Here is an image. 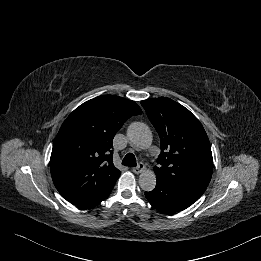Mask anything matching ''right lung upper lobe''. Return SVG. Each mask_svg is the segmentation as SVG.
<instances>
[{
    "instance_id": "cb5924a9",
    "label": "right lung upper lobe",
    "mask_w": 261,
    "mask_h": 261,
    "mask_svg": "<svg viewBox=\"0 0 261 261\" xmlns=\"http://www.w3.org/2000/svg\"><path fill=\"white\" fill-rule=\"evenodd\" d=\"M142 110L131 100L102 95L77 107L62 124L53 144L50 169L55 187L72 204L90 201L115 185L113 138Z\"/></svg>"
}]
</instances>
